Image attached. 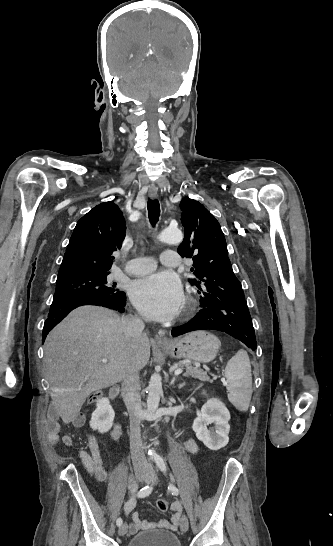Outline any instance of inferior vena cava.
<instances>
[{"label": "inferior vena cava", "instance_id": "obj_1", "mask_svg": "<svg viewBox=\"0 0 333 546\" xmlns=\"http://www.w3.org/2000/svg\"><path fill=\"white\" fill-rule=\"evenodd\" d=\"M121 325L125 337L131 342H138L143 336L145 327L143 320L138 315L127 316L121 319ZM122 397L130 417V450L133 466L147 467V460L141 439L140 423L143 410L141 405L139 371L130 369L122 383Z\"/></svg>", "mask_w": 333, "mask_h": 546}]
</instances>
